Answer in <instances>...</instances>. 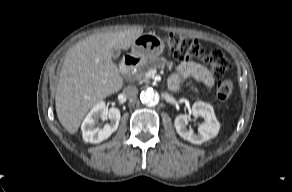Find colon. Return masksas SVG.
<instances>
[{
    "label": "colon",
    "instance_id": "obj_1",
    "mask_svg": "<svg viewBox=\"0 0 292 192\" xmlns=\"http://www.w3.org/2000/svg\"><path fill=\"white\" fill-rule=\"evenodd\" d=\"M163 41L176 60L188 62L194 58L200 59L209 67L211 73L218 78L216 84L218 99L227 100L231 96L233 82L222 75L231 69L232 64L229 56L222 49L214 48L207 51L196 39L178 33L165 35Z\"/></svg>",
    "mask_w": 292,
    "mask_h": 192
}]
</instances>
